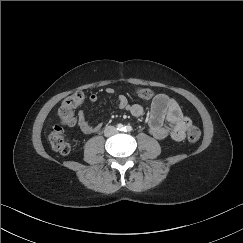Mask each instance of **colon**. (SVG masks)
<instances>
[{
	"label": "colon",
	"mask_w": 243,
	"mask_h": 243,
	"mask_svg": "<svg viewBox=\"0 0 243 243\" xmlns=\"http://www.w3.org/2000/svg\"><path fill=\"white\" fill-rule=\"evenodd\" d=\"M85 99L83 91L75 92L66 97L58 107V115L62 122L67 126H74L76 119L74 109L80 105ZM188 139L192 142L198 141L201 136V131L196 126H191L188 130ZM51 147L60 154H68L71 150L68 139L63 135V130L60 125H54L47 133Z\"/></svg>",
	"instance_id": "5ec220e1"
}]
</instances>
